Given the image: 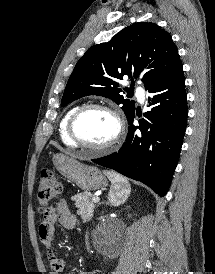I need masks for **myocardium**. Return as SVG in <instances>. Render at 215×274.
I'll use <instances>...</instances> for the list:
<instances>
[{"label":"myocardium","mask_w":215,"mask_h":274,"mask_svg":"<svg viewBox=\"0 0 215 274\" xmlns=\"http://www.w3.org/2000/svg\"><path fill=\"white\" fill-rule=\"evenodd\" d=\"M92 109H100V110L110 113L116 122V126H117L116 134L110 141H108L107 143L102 144V145H92V144L85 142L84 140H82L79 137V135L77 134V131H76V124H77V121L79 120V118L86 111L92 110ZM124 130H125L124 122H123L120 112L116 108H114L110 105L104 104V103H88V104L79 106L74 111V113L71 115L69 122H68V134H69L70 138L72 139V141H74L80 147H83V148H86V149H89L91 151L98 152V153L106 152V151L112 149L114 146H116L120 142V140L123 138Z\"/></svg>","instance_id":"obj_1"}]
</instances>
